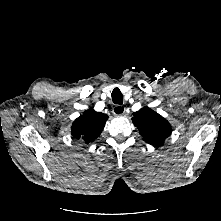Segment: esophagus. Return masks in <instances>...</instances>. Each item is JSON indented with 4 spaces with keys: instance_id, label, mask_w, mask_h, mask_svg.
<instances>
[{
    "instance_id": "1",
    "label": "esophagus",
    "mask_w": 221,
    "mask_h": 221,
    "mask_svg": "<svg viewBox=\"0 0 221 221\" xmlns=\"http://www.w3.org/2000/svg\"><path fill=\"white\" fill-rule=\"evenodd\" d=\"M112 112L115 116H122L126 112V108L122 105H116L113 107Z\"/></svg>"
}]
</instances>
